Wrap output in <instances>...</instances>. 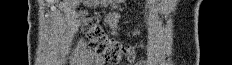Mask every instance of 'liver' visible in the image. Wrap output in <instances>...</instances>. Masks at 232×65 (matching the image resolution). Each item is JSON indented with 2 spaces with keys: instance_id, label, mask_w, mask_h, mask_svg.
Listing matches in <instances>:
<instances>
[{
  "instance_id": "1",
  "label": "liver",
  "mask_w": 232,
  "mask_h": 65,
  "mask_svg": "<svg viewBox=\"0 0 232 65\" xmlns=\"http://www.w3.org/2000/svg\"><path fill=\"white\" fill-rule=\"evenodd\" d=\"M76 0H67L66 3H75L76 4Z\"/></svg>"
}]
</instances>
